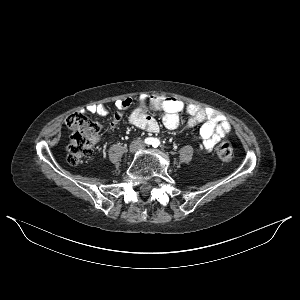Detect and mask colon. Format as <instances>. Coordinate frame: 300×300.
I'll list each match as a JSON object with an SVG mask.
<instances>
[{
    "mask_svg": "<svg viewBox=\"0 0 300 300\" xmlns=\"http://www.w3.org/2000/svg\"><path fill=\"white\" fill-rule=\"evenodd\" d=\"M130 105V99L122 101L123 109L128 108ZM120 119L121 116L116 115L113 123H118ZM65 122L71 130L67 146V161L71 165H77L84 157L91 155L98 135V125L81 113L69 115ZM217 155L224 161L230 160L233 155L232 145L229 142H222L217 148Z\"/></svg>",
    "mask_w": 300,
    "mask_h": 300,
    "instance_id": "5ec220e1",
    "label": "colon"
}]
</instances>
